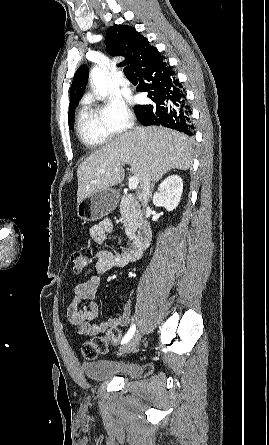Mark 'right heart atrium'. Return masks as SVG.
<instances>
[{
	"instance_id": "obj_1",
	"label": "right heart atrium",
	"mask_w": 269,
	"mask_h": 445,
	"mask_svg": "<svg viewBox=\"0 0 269 445\" xmlns=\"http://www.w3.org/2000/svg\"><path fill=\"white\" fill-rule=\"evenodd\" d=\"M96 115L111 135L125 132L133 123V114L118 97H108L96 109Z\"/></svg>"
}]
</instances>
